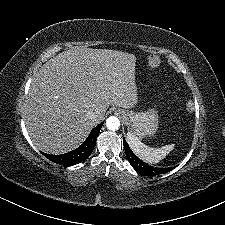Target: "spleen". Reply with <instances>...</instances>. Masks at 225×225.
Here are the masks:
<instances>
[{
    "label": "spleen",
    "instance_id": "1",
    "mask_svg": "<svg viewBox=\"0 0 225 225\" xmlns=\"http://www.w3.org/2000/svg\"><path fill=\"white\" fill-rule=\"evenodd\" d=\"M126 139L135 155L148 164L158 163L174 149V144L165 145L160 148H151L130 132L127 133Z\"/></svg>",
    "mask_w": 225,
    "mask_h": 225
}]
</instances>
